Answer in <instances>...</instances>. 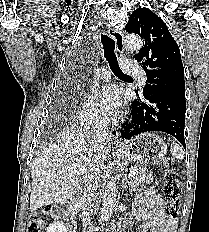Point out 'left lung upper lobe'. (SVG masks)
Masks as SVG:
<instances>
[{"label": "left lung upper lobe", "instance_id": "left-lung-upper-lobe-1", "mask_svg": "<svg viewBox=\"0 0 209 232\" xmlns=\"http://www.w3.org/2000/svg\"><path fill=\"white\" fill-rule=\"evenodd\" d=\"M125 29L144 40L133 59L142 61L147 75L143 97L170 94L185 98L184 68L179 47L166 24L151 10L138 8L131 14ZM138 95V90H135Z\"/></svg>", "mask_w": 209, "mask_h": 232}]
</instances>
